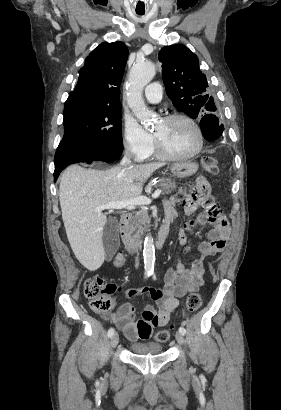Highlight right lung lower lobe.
<instances>
[{
  "instance_id": "1",
  "label": "right lung lower lobe",
  "mask_w": 281,
  "mask_h": 410,
  "mask_svg": "<svg viewBox=\"0 0 281 410\" xmlns=\"http://www.w3.org/2000/svg\"><path fill=\"white\" fill-rule=\"evenodd\" d=\"M121 149L91 148L66 152L55 159L54 182L60 172L68 165L78 162L91 163L93 161L113 162L120 158Z\"/></svg>"
}]
</instances>
